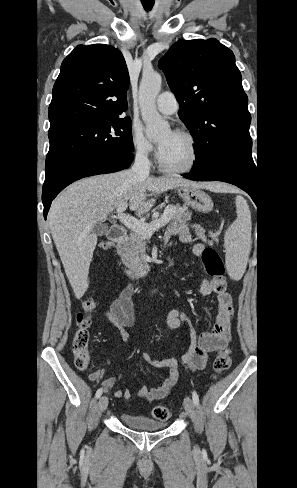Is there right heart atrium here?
I'll list each match as a JSON object with an SVG mask.
<instances>
[{"label":"right heart atrium","instance_id":"1","mask_svg":"<svg viewBox=\"0 0 297 488\" xmlns=\"http://www.w3.org/2000/svg\"><path fill=\"white\" fill-rule=\"evenodd\" d=\"M130 141L135 155L142 159H149L155 149L153 143L146 137L141 125L133 123L130 130Z\"/></svg>","mask_w":297,"mask_h":488}]
</instances>
